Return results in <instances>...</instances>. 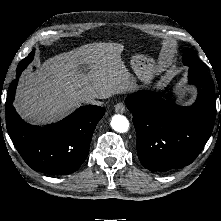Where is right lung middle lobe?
<instances>
[{
  "label": "right lung middle lobe",
  "mask_w": 221,
  "mask_h": 221,
  "mask_svg": "<svg viewBox=\"0 0 221 221\" xmlns=\"http://www.w3.org/2000/svg\"><path fill=\"white\" fill-rule=\"evenodd\" d=\"M33 57H34V50L19 63L16 69L17 74L21 73L27 67V65L33 60Z\"/></svg>",
  "instance_id": "obj_1"
}]
</instances>
